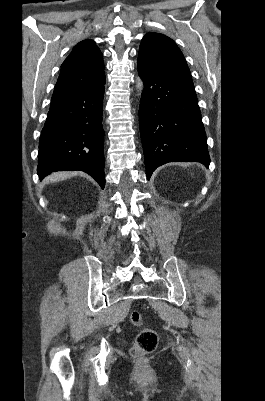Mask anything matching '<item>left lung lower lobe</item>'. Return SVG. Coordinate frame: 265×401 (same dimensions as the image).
I'll return each mask as SVG.
<instances>
[{
	"instance_id": "1",
	"label": "left lung lower lobe",
	"mask_w": 265,
	"mask_h": 401,
	"mask_svg": "<svg viewBox=\"0 0 265 401\" xmlns=\"http://www.w3.org/2000/svg\"><path fill=\"white\" fill-rule=\"evenodd\" d=\"M144 82L139 124L146 175L168 162L210 163L191 77L159 73L138 62Z\"/></svg>"
}]
</instances>
